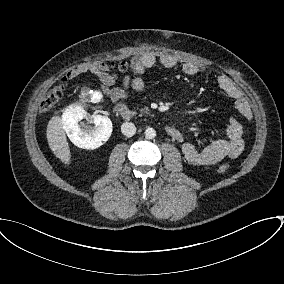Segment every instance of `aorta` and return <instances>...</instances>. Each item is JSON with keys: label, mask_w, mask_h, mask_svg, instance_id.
Returning <instances> with one entry per match:
<instances>
[{"label": "aorta", "mask_w": 284, "mask_h": 284, "mask_svg": "<svg viewBox=\"0 0 284 284\" xmlns=\"http://www.w3.org/2000/svg\"><path fill=\"white\" fill-rule=\"evenodd\" d=\"M144 134L147 139H153L156 136V131L153 128H147Z\"/></svg>", "instance_id": "aorta-1"}]
</instances>
